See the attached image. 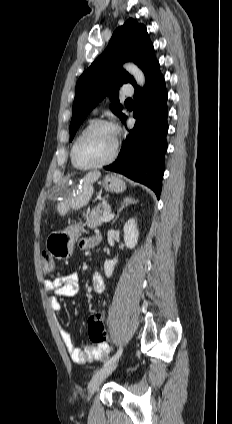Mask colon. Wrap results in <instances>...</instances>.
Instances as JSON below:
<instances>
[{"label": "colon", "mask_w": 232, "mask_h": 424, "mask_svg": "<svg viewBox=\"0 0 232 424\" xmlns=\"http://www.w3.org/2000/svg\"><path fill=\"white\" fill-rule=\"evenodd\" d=\"M41 261H42L43 271L46 274H50L54 271L55 262L49 253H47L46 251H43L41 253ZM87 330H88V337L91 342L98 345L105 343L107 336L104 329L102 313L93 314L88 318Z\"/></svg>", "instance_id": "1"}]
</instances>
